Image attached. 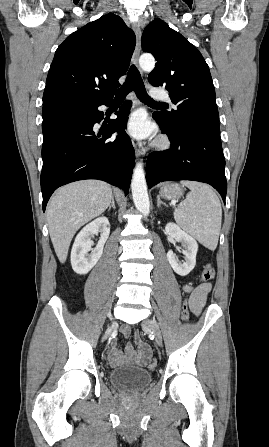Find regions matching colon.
I'll list each match as a JSON object with an SVG mask.
<instances>
[{
    "label": "colon",
    "instance_id": "5ec220e1",
    "mask_svg": "<svg viewBox=\"0 0 269 447\" xmlns=\"http://www.w3.org/2000/svg\"><path fill=\"white\" fill-rule=\"evenodd\" d=\"M215 274H216V269H215V267H214L212 264H209V263H208V264H206V265L203 267L202 274H201V280H202L203 282H211V281L214 279ZM180 306L183 307V308H182V313H183V315H182V320H188V313H189L188 301H187V300H181V301H180ZM143 352H144V354H146V355H150V354H151V351H150L149 348H144V349H143ZM145 365H146L148 368H150V369H154V368H155V365H156V362H155L154 359H149V360L145 363Z\"/></svg>",
    "mask_w": 269,
    "mask_h": 447
}]
</instances>
